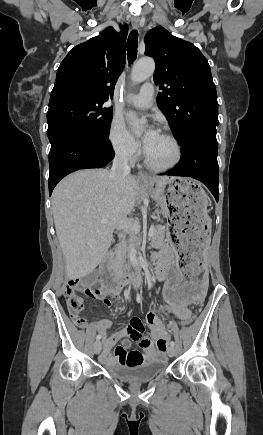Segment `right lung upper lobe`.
<instances>
[{"mask_svg": "<svg viewBox=\"0 0 263 435\" xmlns=\"http://www.w3.org/2000/svg\"><path fill=\"white\" fill-rule=\"evenodd\" d=\"M127 32L126 25L120 33L108 27L71 49L57 70L49 106L70 100L112 99L125 65Z\"/></svg>", "mask_w": 263, "mask_h": 435, "instance_id": "cb5924a9", "label": "right lung upper lobe"}]
</instances>
